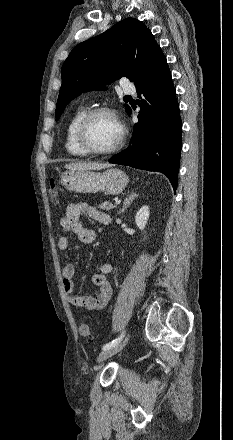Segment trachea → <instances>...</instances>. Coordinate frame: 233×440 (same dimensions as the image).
Listing matches in <instances>:
<instances>
[{
	"label": "trachea",
	"mask_w": 233,
	"mask_h": 440,
	"mask_svg": "<svg viewBox=\"0 0 233 440\" xmlns=\"http://www.w3.org/2000/svg\"><path fill=\"white\" fill-rule=\"evenodd\" d=\"M125 97L128 98V97H131V96L127 95V96H125Z\"/></svg>",
	"instance_id": "obj_1"
}]
</instances>
